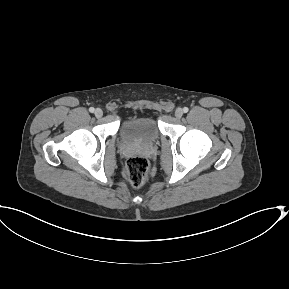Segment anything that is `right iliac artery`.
Listing matches in <instances>:
<instances>
[{
  "mask_svg": "<svg viewBox=\"0 0 289 289\" xmlns=\"http://www.w3.org/2000/svg\"><path fill=\"white\" fill-rule=\"evenodd\" d=\"M89 111H90L91 113H93V112L95 111V109H94L93 107H90V108H89Z\"/></svg>",
  "mask_w": 289,
  "mask_h": 289,
  "instance_id": "1",
  "label": "right iliac artery"
}]
</instances>
